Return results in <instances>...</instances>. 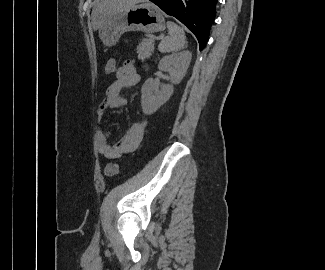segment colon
Returning <instances> with one entry per match:
<instances>
[{
    "instance_id": "1",
    "label": "colon",
    "mask_w": 325,
    "mask_h": 270,
    "mask_svg": "<svg viewBox=\"0 0 325 270\" xmlns=\"http://www.w3.org/2000/svg\"><path fill=\"white\" fill-rule=\"evenodd\" d=\"M117 61L115 58L111 57L106 61L105 72L107 74H114L117 71ZM119 171L118 164H108L105 167L104 174L108 177L116 175Z\"/></svg>"
}]
</instances>
